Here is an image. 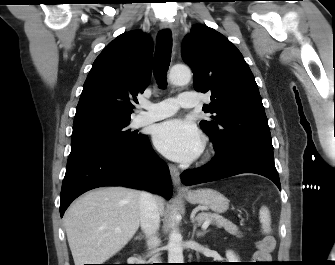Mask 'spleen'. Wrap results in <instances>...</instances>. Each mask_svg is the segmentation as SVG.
<instances>
[{"instance_id": "1", "label": "spleen", "mask_w": 335, "mask_h": 265, "mask_svg": "<svg viewBox=\"0 0 335 265\" xmlns=\"http://www.w3.org/2000/svg\"><path fill=\"white\" fill-rule=\"evenodd\" d=\"M259 218L260 222L262 223V226L264 229H268L270 226V212L267 207L262 206L259 212Z\"/></svg>"}]
</instances>
